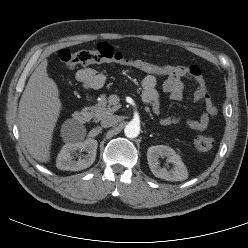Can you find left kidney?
<instances>
[{
    "instance_id": "obj_1",
    "label": "left kidney",
    "mask_w": 248,
    "mask_h": 248,
    "mask_svg": "<svg viewBox=\"0 0 248 248\" xmlns=\"http://www.w3.org/2000/svg\"><path fill=\"white\" fill-rule=\"evenodd\" d=\"M166 158L167 162L173 167L170 170L162 168L159 164V158ZM147 160L154 176L167 181H183L188 178V171L181 160V157L168 146H151L147 151Z\"/></svg>"
}]
</instances>
